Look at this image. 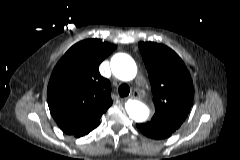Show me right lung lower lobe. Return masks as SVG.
Returning <instances> with one entry per match:
<instances>
[{
    "label": "right lung lower lobe",
    "mask_w": 240,
    "mask_h": 160,
    "mask_svg": "<svg viewBox=\"0 0 240 160\" xmlns=\"http://www.w3.org/2000/svg\"><path fill=\"white\" fill-rule=\"evenodd\" d=\"M99 125V123L95 124V125H92L88 128H85L77 133H75L73 136L75 137H82L84 135H87L89 132H91L93 129H95L97 126Z\"/></svg>",
    "instance_id": "98d812e1"
}]
</instances>
